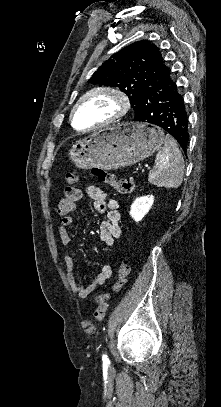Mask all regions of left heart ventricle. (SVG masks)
I'll return each instance as SVG.
<instances>
[{"label": "left heart ventricle", "instance_id": "left-heart-ventricle-1", "mask_svg": "<svg viewBox=\"0 0 221 407\" xmlns=\"http://www.w3.org/2000/svg\"><path fill=\"white\" fill-rule=\"evenodd\" d=\"M117 109L113 96L96 95L88 98L76 110L74 124L77 129L87 128L111 117Z\"/></svg>", "mask_w": 221, "mask_h": 407}]
</instances>
